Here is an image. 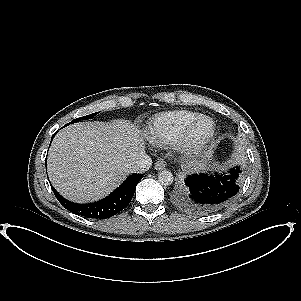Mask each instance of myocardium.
<instances>
[{
	"label": "myocardium",
	"mask_w": 301,
	"mask_h": 301,
	"mask_svg": "<svg viewBox=\"0 0 301 301\" xmlns=\"http://www.w3.org/2000/svg\"><path fill=\"white\" fill-rule=\"evenodd\" d=\"M208 122L210 124L209 132L202 138L193 136V132L198 124ZM216 132L215 121L206 115H200L193 120L174 141V147L177 152L186 157H194L202 153L212 141Z\"/></svg>",
	"instance_id": "myocardium-1"
}]
</instances>
